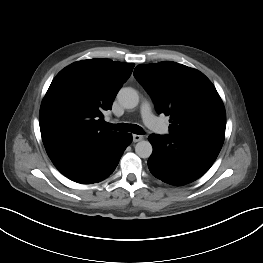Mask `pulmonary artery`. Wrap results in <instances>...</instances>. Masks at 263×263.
Returning <instances> with one entry per match:
<instances>
[{
    "label": "pulmonary artery",
    "mask_w": 263,
    "mask_h": 263,
    "mask_svg": "<svg viewBox=\"0 0 263 263\" xmlns=\"http://www.w3.org/2000/svg\"><path fill=\"white\" fill-rule=\"evenodd\" d=\"M141 116L144 123L151 129L166 132L167 128L158 120V118L153 114L151 106L149 103L145 102L141 106Z\"/></svg>",
    "instance_id": "1"
}]
</instances>
